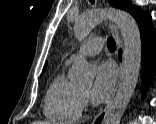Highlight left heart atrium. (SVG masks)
<instances>
[{
  "label": "left heart atrium",
  "instance_id": "1",
  "mask_svg": "<svg viewBox=\"0 0 156 124\" xmlns=\"http://www.w3.org/2000/svg\"><path fill=\"white\" fill-rule=\"evenodd\" d=\"M116 81V69L110 62H102L96 67V75L92 87L95 101L105 100L113 91Z\"/></svg>",
  "mask_w": 156,
  "mask_h": 124
}]
</instances>
